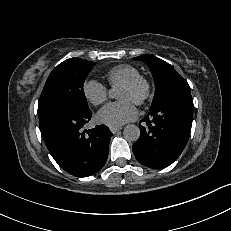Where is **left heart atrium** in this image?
Masks as SVG:
<instances>
[{
    "mask_svg": "<svg viewBox=\"0 0 231 231\" xmlns=\"http://www.w3.org/2000/svg\"><path fill=\"white\" fill-rule=\"evenodd\" d=\"M137 116L134 102L124 99L102 108L96 115V121L111 128L121 127Z\"/></svg>",
    "mask_w": 231,
    "mask_h": 231,
    "instance_id": "39dd6f15",
    "label": "left heart atrium"
}]
</instances>
